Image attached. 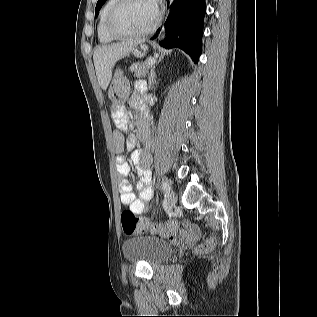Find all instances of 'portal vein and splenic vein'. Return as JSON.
<instances>
[{
	"label": "portal vein and splenic vein",
	"mask_w": 317,
	"mask_h": 317,
	"mask_svg": "<svg viewBox=\"0 0 317 317\" xmlns=\"http://www.w3.org/2000/svg\"><path fill=\"white\" fill-rule=\"evenodd\" d=\"M155 62H156V61H155L154 59H152V60H150V61L148 62V64H149V65H153Z\"/></svg>",
	"instance_id": "18ae733b"
}]
</instances>
